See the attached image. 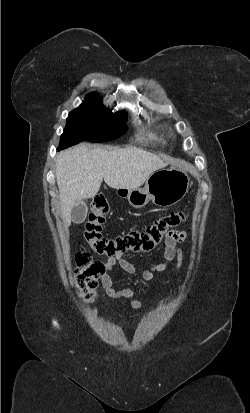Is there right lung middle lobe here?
I'll return each instance as SVG.
<instances>
[{
    "instance_id": "right-lung-middle-lobe-1",
    "label": "right lung middle lobe",
    "mask_w": 250,
    "mask_h": 413,
    "mask_svg": "<svg viewBox=\"0 0 250 413\" xmlns=\"http://www.w3.org/2000/svg\"><path fill=\"white\" fill-rule=\"evenodd\" d=\"M126 113H112L96 94H89L79 108L71 111L61 135L58 151L81 141L104 142L118 138L127 127Z\"/></svg>"
}]
</instances>
